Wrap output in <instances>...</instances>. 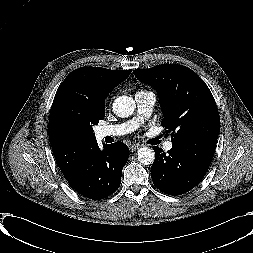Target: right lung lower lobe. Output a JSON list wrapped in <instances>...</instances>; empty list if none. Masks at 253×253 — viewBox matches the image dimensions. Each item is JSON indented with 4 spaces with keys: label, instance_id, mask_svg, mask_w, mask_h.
Segmentation results:
<instances>
[{
    "label": "right lung lower lobe",
    "instance_id": "98d812e1",
    "mask_svg": "<svg viewBox=\"0 0 253 253\" xmlns=\"http://www.w3.org/2000/svg\"><path fill=\"white\" fill-rule=\"evenodd\" d=\"M128 157L129 149L123 142L106 144L103 150L96 144L67 181L84 197L103 199L119 188Z\"/></svg>",
    "mask_w": 253,
    "mask_h": 253
}]
</instances>
